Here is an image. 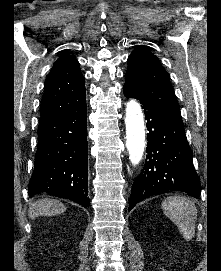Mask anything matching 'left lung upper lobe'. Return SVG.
Segmentation results:
<instances>
[{
  "label": "left lung upper lobe",
  "instance_id": "5c2ea615",
  "mask_svg": "<svg viewBox=\"0 0 221 271\" xmlns=\"http://www.w3.org/2000/svg\"><path fill=\"white\" fill-rule=\"evenodd\" d=\"M125 86L134 90L163 113L182 121L169 74L147 47L140 46L128 58Z\"/></svg>",
  "mask_w": 221,
  "mask_h": 271
}]
</instances>
